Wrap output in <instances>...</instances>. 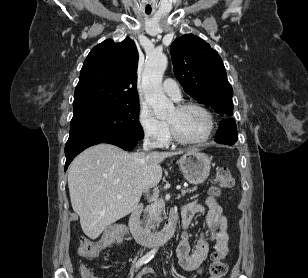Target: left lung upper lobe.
Masks as SVG:
<instances>
[{
    "mask_svg": "<svg viewBox=\"0 0 308 278\" xmlns=\"http://www.w3.org/2000/svg\"><path fill=\"white\" fill-rule=\"evenodd\" d=\"M174 73L186 93L220 115H233V89L219 54L193 34L176 39L170 48Z\"/></svg>",
    "mask_w": 308,
    "mask_h": 278,
    "instance_id": "1",
    "label": "left lung upper lobe"
}]
</instances>
